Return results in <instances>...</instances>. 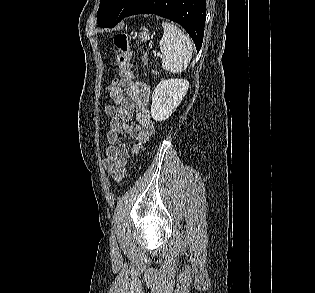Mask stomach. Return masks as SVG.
<instances>
[{
	"mask_svg": "<svg viewBox=\"0 0 315 293\" xmlns=\"http://www.w3.org/2000/svg\"><path fill=\"white\" fill-rule=\"evenodd\" d=\"M137 37L140 39V41L147 42L153 38V35L148 34V30L143 29V31H141L139 35L136 34L134 38H137Z\"/></svg>",
	"mask_w": 315,
	"mask_h": 293,
	"instance_id": "obj_1",
	"label": "stomach"
}]
</instances>
